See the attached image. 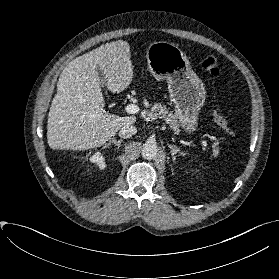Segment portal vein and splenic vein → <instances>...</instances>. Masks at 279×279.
<instances>
[{
	"instance_id": "portal-vein-and-splenic-vein-1",
	"label": "portal vein and splenic vein",
	"mask_w": 279,
	"mask_h": 279,
	"mask_svg": "<svg viewBox=\"0 0 279 279\" xmlns=\"http://www.w3.org/2000/svg\"><path fill=\"white\" fill-rule=\"evenodd\" d=\"M125 111L128 113V114H137L139 113L140 111V108L137 106V105H134V104H129L125 107ZM203 145L206 147H208V144L206 141L203 142Z\"/></svg>"
}]
</instances>
